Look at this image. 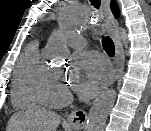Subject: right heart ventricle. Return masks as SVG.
Here are the masks:
<instances>
[{
    "label": "right heart ventricle",
    "instance_id": "1",
    "mask_svg": "<svg viewBox=\"0 0 151 131\" xmlns=\"http://www.w3.org/2000/svg\"><path fill=\"white\" fill-rule=\"evenodd\" d=\"M48 69L40 53L39 43H29L20 57L12 82L11 100L16 108L36 107L44 103L40 82Z\"/></svg>",
    "mask_w": 151,
    "mask_h": 131
}]
</instances>
